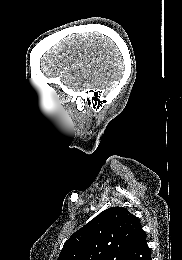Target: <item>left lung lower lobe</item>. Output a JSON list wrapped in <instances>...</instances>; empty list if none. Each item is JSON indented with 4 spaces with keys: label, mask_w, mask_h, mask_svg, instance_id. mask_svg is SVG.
<instances>
[{
    "label": "left lung lower lobe",
    "mask_w": 182,
    "mask_h": 260,
    "mask_svg": "<svg viewBox=\"0 0 182 260\" xmlns=\"http://www.w3.org/2000/svg\"><path fill=\"white\" fill-rule=\"evenodd\" d=\"M121 260H152L146 235L142 228L134 236Z\"/></svg>",
    "instance_id": "obj_1"
}]
</instances>
